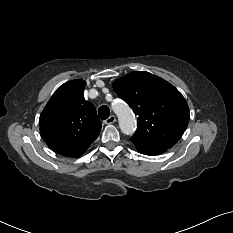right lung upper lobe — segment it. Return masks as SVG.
<instances>
[{
  "label": "right lung upper lobe",
  "instance_id": "right-lung-upper-lobe-1",
  "mask_svg": "<svg viewBox=\"0 0 233 233\" xmlns=\"http://www.w3.org/2000/svg\"><path fill=\"white\" fill-rule=\"evenodd\" d=\"M85 85L83 80L64 83L40 115L41 135L54 152L88 148L100 133L96 109L84 99Z\"/></svg>",
  "mask_w": 233,
  "mask_h": 233
}]
</instances>
